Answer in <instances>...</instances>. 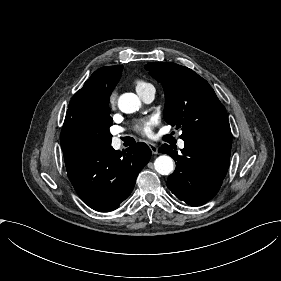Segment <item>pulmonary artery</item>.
Segmentation results:
<instances>
[{
    "instance_id": "pulmonary-artery-1",
    "label": "pulmonary artery",
    "mask_w": 281,
    "mask_h": 281,
    "mask_svg": "<svg viewBox=\"0 0 281 281\" xmlns=\"http://www.w3.org/2000/svg\"><path fill=\"white\" fill-rule=\"evenodd\" d=\"M154 98H155V91L152 88L147 89L146 92L142 94V100L147 104H150L154 100ZM178 144L179 147L181 148L184 147L183 141L180 140ZM112 146L114 151H119L121 149V143L117 138L113 141Z\"/></svg>"
}]
</instances>
